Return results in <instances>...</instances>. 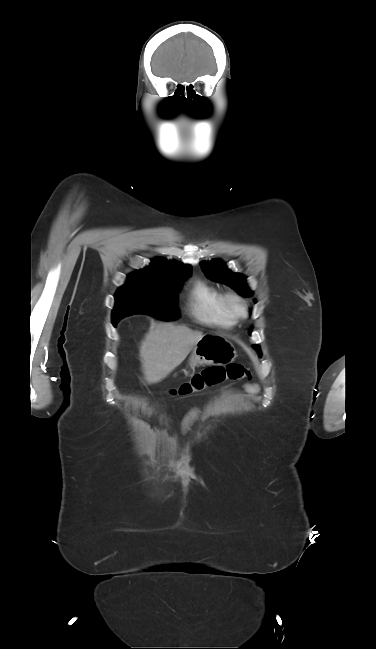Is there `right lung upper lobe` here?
Here are the masks:
<instances>
[{"mask_svg": "<svg viewBox=\"0 0 376 649\" xmlns=\"http://www.w3.org/2000/svg\"><path fill=\"white\" fill-rule=\"evenodd\" d=\"M191 270L192 267L190 265H184L183 263L157 258L155 260H152L149 267L136 272L153 277H162L167 275H177L188 271L191 272Z\"/></svg>", "mask_w": 376, "mask_h": 649, "instance_id": "1", "label": "right lung upper lobe"}]
</instances>
